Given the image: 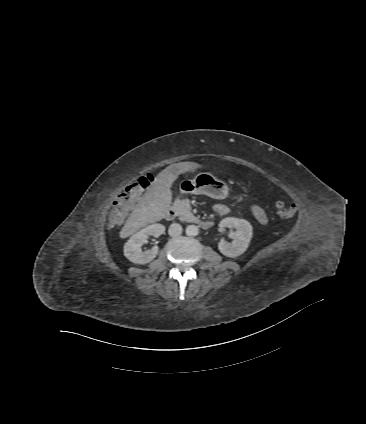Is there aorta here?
<instances>
[{"label": "aorta", "mask_w": 366, "mask_h": 424, "mask_svg": "<svg viewBox=\"0 0 366 424\" xmlns=\"http://www.w3.org/2000/svg\"><path fill=\"white\" fill-rule=\"evenodd\" d=\"M199 233V229L196 225H188L186 227V235L188 236H196Z\"/></svg>", "instance_id": "aorta-1"}]
</instances>
